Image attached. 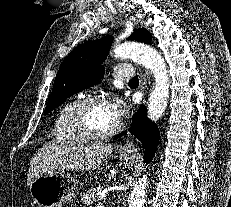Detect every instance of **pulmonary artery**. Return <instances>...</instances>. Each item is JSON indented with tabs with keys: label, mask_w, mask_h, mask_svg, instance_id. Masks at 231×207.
<instances>
[{
	"label": "pulmonary artery",
	"mask_w": 231,
	"mask_h": 207,
	"mask_svg": "<svg viewBox=\"0 0 231 207\" xmlns=\"http://www.w3.org/2000/svg\"><path fill=\"white\" fill-rule=\"evenodd\" d=\"M113 76L117 80H129L134 78L135 73L131 65L120 64L114 68Z\"/></svg>",
	"instance_id": "obj_1"
}]
</instances>
